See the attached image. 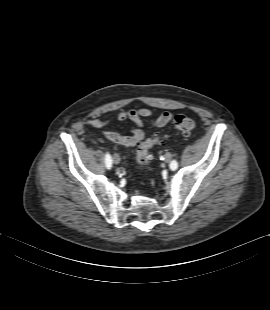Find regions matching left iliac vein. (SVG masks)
<instances>
[{
  "instance_id": "4c4485c4",
  "label": "left iliac vein",
  "mask_w": 270,
  "mask_h": 310,
  "mask_svg": "<svg viewBox=\"0 0 270 310\" xmlns=\"http://www.w3.org/2000/svg\"><path fill=\"white\" fill-rule=\"evenodd\" d=\"M172 159V155L170 153H166L164 156L165 162L169 163Z\"/></svg>"
}]
</instances>
